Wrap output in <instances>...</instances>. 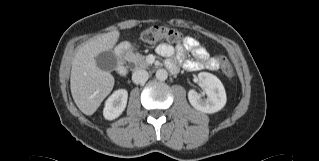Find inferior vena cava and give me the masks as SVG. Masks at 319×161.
<instances>
[{
    "label": "inferior vena cava",
    "mask_w": 319,
    "mask_h": 161,
    "mask_svg": "<svg viewBox=\"0 0 319 161\" xmlns=\"http://www.w3.org/2000/svg\"><path fill=\"white\" fill-rule=\"evenodd\" d=\"M148 80V72L146 70H136L133 74H132V81L135 84H143Z\"/></svg>",
    "instance_id": "602c4592"
}]
</instances>
